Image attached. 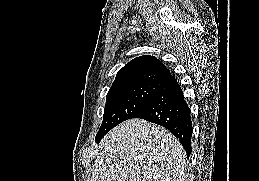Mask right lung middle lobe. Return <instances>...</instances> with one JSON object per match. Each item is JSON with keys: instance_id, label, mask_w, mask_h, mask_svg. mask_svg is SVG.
<instances>
[{"instance_id": "right-lung-middle-lobe-1", "label": "right lung middle lobe", "mask_w": 259, "mask_h": 181, "mask_svg": "<svg viewBox=\"0 0 259 181\" xmlns=\"http://www.w3.org/2000/svg\"><path fill=\"white\" fill-rule=\"evenodd\" d=\"M158 89L159 85L156 84H137L110 89L107 93L103 122L97 136L105 135L119 123L133 118Z\"/></svg>"}]
</instances>
